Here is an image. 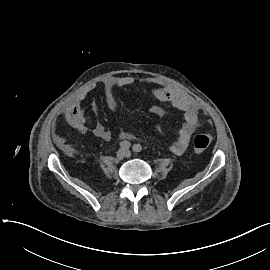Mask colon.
<instances>
[{
	"instance_id": "obj_1",
	"label": "colon",
	"mask_w": 270,
	"mask_h": 270,
	"mask_svg": "<svg viewBox=\"0 0 270 270\" xmlns=\"http://www.w3.org/2000/svg\"><path fill=\"white\" fill-rule=\"evenodd\" d=\"M211 144V138L204 133L196 134L193 138V146L197 152H204L209 148Z\"/></svg>"
}]
</instances>
